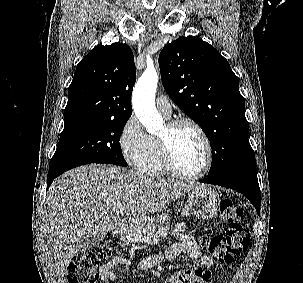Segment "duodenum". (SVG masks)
<instances>
[{
    "instance_id": "410a0bca",
    "label": "duodenum",
    "mask_w": 303,
    "mask_h": 283,
    "mask_svg": "<svg viewBox=\"0 0 303 283\" xmlns=\"http://www.w3.org/2000/svg\"><path fill=\"white\" fill-rule=\"evenodd\" d=\"M131 222L129 221H124L122 223L119 224V226L117 227V229L115 230V235L116 236H121L123 235V233L131 227Z\"/></svg>"
}]
</instances>
